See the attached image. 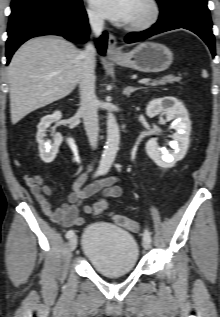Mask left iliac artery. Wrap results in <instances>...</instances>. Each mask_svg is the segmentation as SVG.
<instances>
[{
  "label": "left iliac artery",
  "instance_id": "44dca946",
  "mask_svg": "<svg viewBox=\"0 0 220 317\" xmlns=\"http://www.w3.org/2000/svg\"><path fill=\"white\" fill-rule=\"evenodd\" d=\"M143 238L151 242V234L148 230L144 231Z\"/></svg>",
  "mask_w": 220,
  "mask_h": 317
}]
</instances>
